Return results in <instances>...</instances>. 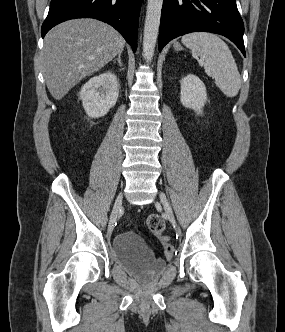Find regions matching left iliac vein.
<instances>
[{
  "mask_svg": "<svg viewBox=\"0 0 285 332\" xmlns=\"http://www.w3.org/2000/svg\"><path fill=\"white\" fill-rule=\"evenodd\" d=\"M159 197L169 221L171 222L172 225L175 226L176 225L175 217L166 196L161 192L159 194Z\"/></svg>",
  "mask_w": 285,
  "mask_h": 332,
  "instance_id": "4c4485c4",
  "label": "left iliac vein"
}]
</instances>
